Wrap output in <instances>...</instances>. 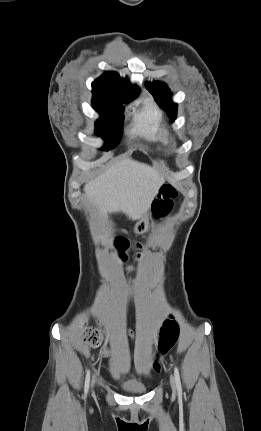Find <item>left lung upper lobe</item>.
I'll return each mask as SVG.
<instances>
[{"label":"left lung upper lobe","instance_id":"5c2ea615","mask_svg":"<svg viewBox=\"0 0 261 431\" xmlns=\"http://www.w3.org/2000/svg\"><path fill=\"white\" fill-rule=\"evenodd\" d=\"M146 87L156 98L159 106L167 112L171 122H174L177 116V104L171 101V92L167 86L160 82H147Z\"/></svg>","mask_w":261,"mask_h":431}]
</instances>
